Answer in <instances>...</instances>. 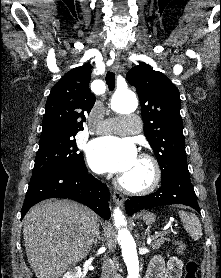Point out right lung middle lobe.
<instances>
[{"label": "right lung middle lobe", "instance_id": "1", "mask_svg": "<svg viewBox=\"0 0 221 278\" xmlns=\"http://www.w3.org/2000/svg\"><path fill=\"white\" fill-rule=\"evenodd\" d=\"M74 136L40 142L30 182L60 170L80 171L85 162Z\"/></svg>", "mask_w": 221, "mask_h": 278}]
</instances>
